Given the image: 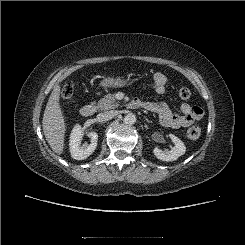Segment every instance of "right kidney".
Segmentation results:
<instances>
[{
    "mask_svg": "<svg viewBox=\"0 0 245 245\" xmlns=\"http://www.w3.org/2000/svg\"><path fill=\"white\" fill-rule=\"evenodd\" d=\"M83 132L80 125H75L70 135V153L72 158L76 160H84L89 157L97 147L98 134L89 132L88 137L91 140L90 144L81 145Z\"/></svg>",
    "mask_w": 245,
    "mask_h": 245,
    "instance_id": "ca27d5eb",
    "label": "right kidney"
}]
</instances>
